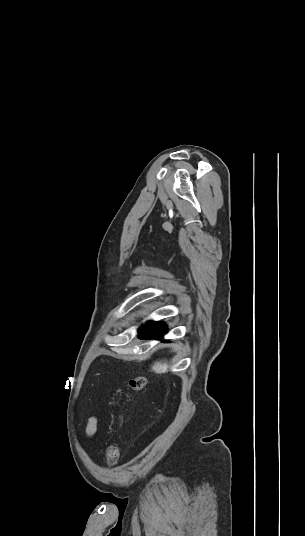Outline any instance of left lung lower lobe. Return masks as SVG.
Listing matches in <instances>:
<instances>
[{"instance_id": "obj_1", "label": "left lung lower lobe", "mask_w": 305, "mask_h": 536, "mask_svg": "<svg viewBox=\"0 0 305 536\" xmlns=\"http://www.w3.org/2000/svg\"><path fill=\"white\" fill-rule=\"evenodd\" d=\"M166 325L164 323L148 322L147 326L142 325L138 331L141 338H160L163 333H166Z\"/></svg>"}]
</instances>
